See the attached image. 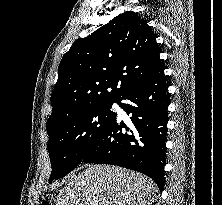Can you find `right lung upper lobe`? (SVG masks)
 Segmentation results:
<instances>
[{"label": "right lung upper lobe", "mask_w": 222, "mask_h": 205, "mask_svg": "<svg viewBox=\"0 0 222 205\" xmlns=\"http://www.w3.org/2000/svg\"><path fill=\"white\" fill-rule=\"evenodd\" d=\"M160 53L147 20L132 11L76 40L58 67L47 125L93 104L120 101L130 87L164 68Z\"/></svg>", "instance_id": "cb5924a9"}]
</instances>
